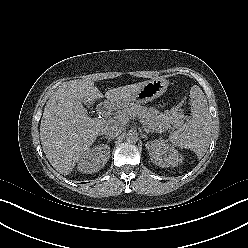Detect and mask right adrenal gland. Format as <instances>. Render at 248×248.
<instances>
[{
  "instance_id": "1",
  "label": "right adrenal gland",
  "mask_w": 248,
  "mask_h": 248,
  "mask_svg": "<svg viewBox=\"0 0 248 248\" xmlns=\"http://www.w3.org/2000/svg\"><path fill=\"white\" fill-rule=\"evenodd\" d=\"M104 138L107 139V142H110L113 139V138L107 137V136H105Z\"/></svg>"
}]
</instances>
